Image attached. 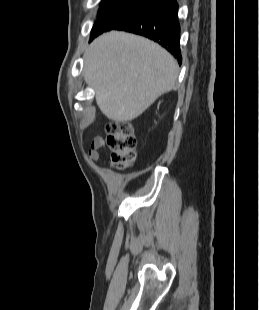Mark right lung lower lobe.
Segmentation results:
<instances>
[{
	"mask_svg": "<svg viewBox=\"0 0 259 310\" xmlns=\"http://www.w3.org/2000/svg\"><path fill=\"white\" fill-rule=\"evenodd\" d=\"M115 30L145 36L167 49L181 64L180 25L176 0H159L158 4L128 20Z\"/></svg>",
	"mask_w": 259,
	"mask_h": 310,
	"instance_id": "98d812e1",
	"label": "right lung lower lobe"
}]
</instances>
